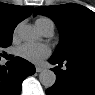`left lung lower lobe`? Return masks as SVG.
Listing matches in <instances>:
<instances>
[{
    "label": "left lung lower lobe",
    "mask_w": 95,
    "mask_h": 95,
    "mask_svg": "<svg viewBox=\"0 0 95 95\" xmlns=\"http://www.w3.org/2000/svg\"><path fill=\"white\" fill-rule=\"evenodd\" d=\"M49 61L59 66L65 62L67 69H53L56 82L46 90L47 95H95V58L60 60L52 56Z\"/></svg>",
    "instance_id": "obj_1"
}]
</instances>
